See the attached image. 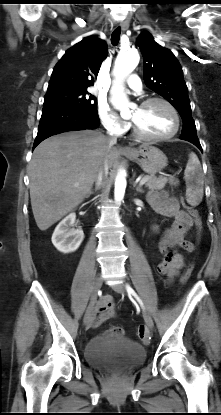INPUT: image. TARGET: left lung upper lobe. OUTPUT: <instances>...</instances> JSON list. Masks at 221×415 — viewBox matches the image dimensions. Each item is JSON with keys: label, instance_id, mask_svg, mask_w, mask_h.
Segmentation results:
<instances>
[{"label": "left lung upper lobe", "instance_id": "left-lung-upper-lobe-1", "mask_svg": "<svg viewBox=\"0 0 221 415\" xmlns=\"http://www.w3.org/2000/svg\"><path fill=\"white\" fill-rule=\"evenodd\" d=\"M137 44L143 55V74L146 86L177 109L183 120L182 131H196L195 122L191 116L188 88L183 79L182 68L174 54L156 43L147 31L140 34Z\"/></svg>", "mask_w": 221, "mask_h": 415}]
</instances>
